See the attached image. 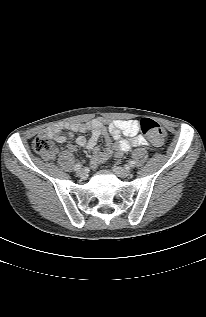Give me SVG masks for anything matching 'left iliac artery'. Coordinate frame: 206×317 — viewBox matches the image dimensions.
<instances>
[{"label": "left iliac artery", "instance_id": "44dca946", "mask_svg": "<svg viewBox=\"0 0 206 317\" xmlns=\"http://www.w3.org/2000/svg\"><path fill=\"white\" fill-rule=\"evenodd\" d=\"M129 166L130 167H134L135 166V161L134 160H130L129 161Z\"/></svg>", "mask_w": 206, "mask_h": 317}]
</instances>
